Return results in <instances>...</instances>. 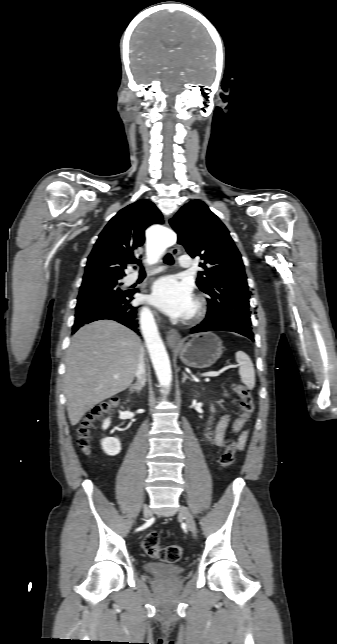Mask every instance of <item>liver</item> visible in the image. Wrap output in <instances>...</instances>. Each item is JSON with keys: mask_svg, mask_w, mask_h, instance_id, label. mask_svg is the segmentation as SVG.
Here are the masks:
<instances>
[{"mask_svg": "<svg viewBox=\"0 0 337 644\" xmlns=\"http://www.w3.org/2000/svg\"><path fill=\"white\" fill-rule=\"evenodd\" d=\"M141 352L139 337L112 320L85 325L73 335L64 375L71 425L78 424L95 405L131 385Z\"/></svg>", "mask_w": 337, "mask_h": 644, "instance_id": "1", "label": "liver"}]
</instances>
